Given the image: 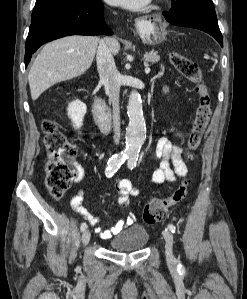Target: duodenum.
Here are the masks:
<instances>
[{
    "label": "duodenum",
    "mask_w": 247,
    "mask_h": 299,
    "mask_svg": "<svg viewBox=\"0 0 247 299\" xmlns=\"http://www.w3.org/2000/svg\"><path fill=\"white\" fill-rule=\"evenodd\" d=\"M93 113L97 124L104 130L110 127L111 112L107 104L96 96L91 97Z\"/></svg>",
    "instance_id": "obj_1"
}]
</instances>
